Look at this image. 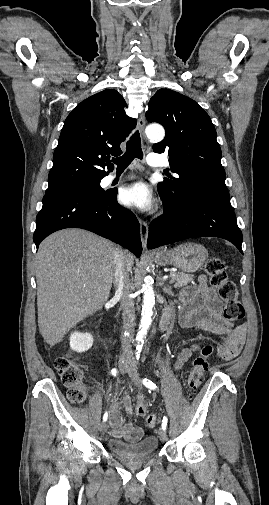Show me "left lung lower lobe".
I'll list each match as a JSON object with an SVG mask.
<instances>
[{"label":"left lung lower lobe","mask_w":269,"mask_h":505,"mask_svg":"<svg viewBox=\"0 0 269 505\" xmlns=\"http://www.w3.org/2000/svg\"><path fill=\"white\" fill-rule=\"evenodd\" d=\"M160 196L164 214L149 226V249L192 237L213 236L232 242L243 254L242 232L227 190L194 186L186 189L178 201Z\"/></svg>","instance_id":"0a47b994"}]
</instances>
